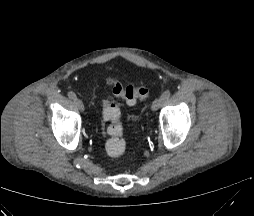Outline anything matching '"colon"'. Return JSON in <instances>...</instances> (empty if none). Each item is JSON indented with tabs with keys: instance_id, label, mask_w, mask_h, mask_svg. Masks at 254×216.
Here are the masks:
<instances>
[{
	"instance_id": "1",
	"label": "colon",
	"mask_w": 254,
	"mask_h": 216,
	"mask_svg": "<svg viewBox=\"0 0 254 216\" xmlns=\"http://www.w3.org/2000/svg\"><path fill=\"white\" fill-rule=\"evenodd\" d=\"M106 83L111 86L112 92L116 97L123 99L129 105H134L137 101L144 100L148 94V90L144 86L124 85L115 81L111 76L107 77ZM103 117L107 122L105 132L109 137L105 145V150L109 156L119 157L126 150L124 130L119 121V107L110 101L105 103Z\"/></svg>"
}]
</instances>
